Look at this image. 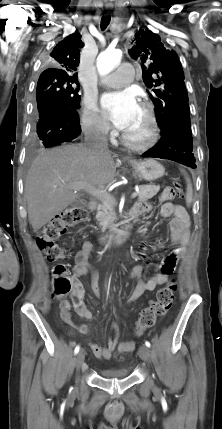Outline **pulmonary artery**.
Masks as SVG:
<instances>
[{
    "label": "pulmonary artery",
    "mask_w": 222,
    "mask_h": 429,
    "mask_svg": "<svg viewBox=\"0 0 222 429\" xmlns=\"http://www.w3.org/2000/svg\"><path fill=\"white\" fill-rule=\"evenodd\" d=\"M135 74V68L131 63L124 62L119 68L109 75L101 79L104 85L109 87L118 88L131 82Z\"/></svg>",
    "instance_id": "1"
}]
</instances>
